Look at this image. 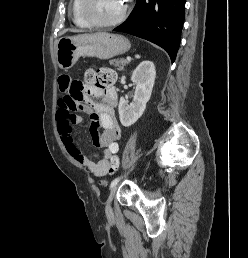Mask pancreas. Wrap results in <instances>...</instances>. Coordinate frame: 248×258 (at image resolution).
<instances>
[{
    "mask_svg": "<svg viewBox=\"0 0 248 258\" xmlns=\"http://www.w3.org/2000/svg\"><path fill=\"white\" fill-rule=\"evenodd\" d=\"M129 63L128 60L125 59H116L110 62L111 65H114L117 70H123L124 66Z\"/></svg>",
    "mask_w": 248,
    "mask_h": 258,
    "instance_id": "cf45deb5",
    "label": "pancreas"
}]
</instances>
